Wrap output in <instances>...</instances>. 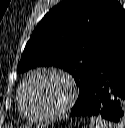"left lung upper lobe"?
I'll return each mask as SVG.
<instances>
[{"label":"left lung upper lobe","instance_id":"1","mask_svg":"<svg viewBox=\"0 0 125 128\" xmlns=\"http://www.w3.org/2000/svg\"><path fill=\"white\" fill-rule=\"evenodd\" d=\"M124 29L125 12L117 0H64L35 28L18 72L36 66L62 68L79 87L78 101L93 69Z\"/></svg>","mask_w":125,"mask_h":128}]
</instances>
